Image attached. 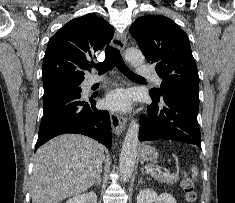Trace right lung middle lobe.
I'll list each match as a JSON object with an SVG mask.
<instances>
[{
  "mask_svg": "<svg viewBox=\"0 0 235 203\" xmlns=\"http://www.w3.org/2000/svg\"><path fill=\"white\" fill-rule=\"evenodd\" d=\"M82 82H60L44 86L43 103L71 92H81Z\"/></svg>",
  "mask_w": 235,
  "mask_h": 203,
  "instance_id": "obj_1",
  "label": "right lung middle lobe"
}]
</instances>
